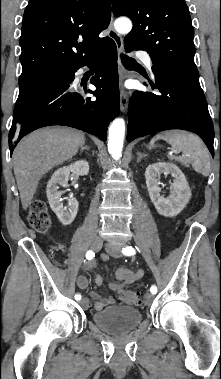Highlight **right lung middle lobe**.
Here are the masks:
<instances>
[{"label":"right lung middle lobe","instance_id":"obj_1","mask_svg":"<svg viewBox=\"0 0 221 379\" xmlns=\"http://www.w3.org/2000/svg\"><path fill=\"white\" fill-rule=\"evenodd\" d=\"M49 72V71H48ZM48 72H45V73H42V74H39L37 76H34L32 78H29L27 80H24V81H19V85H20V88H19V97L17 99V103H20L22 102L24 99H25V94L27 93L28 89H29V85L34 82L35 80H37L38 78L42 77L43 75H45L46 73ZM16 103V104H17Z\"/></svg>","mask_w":221,"mask_h":379}]
</instances>
